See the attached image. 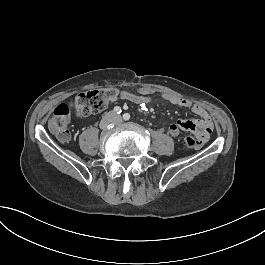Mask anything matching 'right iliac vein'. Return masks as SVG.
<instances>
[{"mask_svg": "<svg viewBox=\"0 0 265 265\" xmlns=\"http://www.w3.org/2000/svg\"><path fill=\"white\" fill-rule=\"evenodd\" d=\"M114 122L113 113H107L100 122V128H106L110 123Z\"/></svg>", "mask_w": 265, "mask_h": 265, "instance_id": "1", "label": "right iliac vein"}]
</instances>
